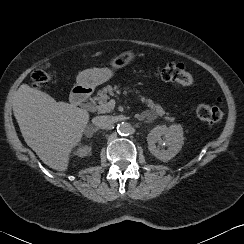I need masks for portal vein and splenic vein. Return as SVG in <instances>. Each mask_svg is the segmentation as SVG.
Returning <instances> with one entry per match:
<instances>
[{"label": "portal vein and splenic vein", "instance_id": "18ae733b", "mask_svg": "<svg viewBox=\"0 0 244 244\" xmlns=\"http://www.w3.org/2000/svg\"><path fill=\"white\" fill-rule=\"evenodd\" d=\"M106 106H108V107H110V108H114L115 107V100H110L107 104H106Z\"/></svg>", "mask_w": 244, "mask_h": 244}]
</instances>
